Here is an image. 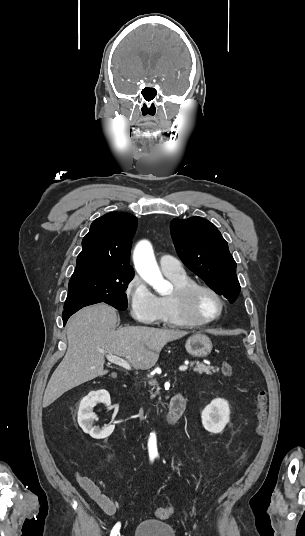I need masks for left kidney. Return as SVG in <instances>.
Wrapping results in <instances>:
<instances>
[{
	"instance_id": "5707ae66",
	"label": "left kidney",
	"mask_w": 305,
	"mask_h": 536,
	"mask_svg": "<svg viewBox=\"0 0 305 536\" xmlns=\"http://www.w3.org/2000/svg\"><path fill=\"white\" fill-rule=\"evenodd\" d=\"M230 408L226 400L222 398H216L212 400L211 404H208L204 408L201 418L202 424L207 432L212 434H219L224 430L226 424H228L230 418Z\"/></svg>"
}]
</instances>
